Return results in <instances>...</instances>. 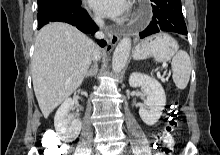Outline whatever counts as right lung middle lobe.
<instances>
[{
    "label": "right lung middle lobe",
    "mask_w": 220,
    "mask_h": 155,
    "mask_svg": "<svg viewBox=\"0 0 220 155\" xmlns=\"http://www.w3.org/2000/svg\"><path fill=\"white\" fill-rule=\"evenodd\" d=\"M37 2H38V11L59 4H70V5L81 4V0H37Z\"/></svg>",
    "instance_id": "1"
}]
</instances>
